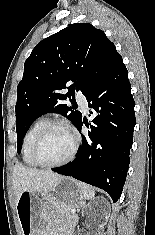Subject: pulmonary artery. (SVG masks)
I'll return each instance as SVG.
<instances>
[{
    "label": "pulmonary artery",
    "mask_w": 155,
    "mask_h": 235,
    "mask_svg": "<svg viewBox=\"0 0 155 235\" xmlns=\"http://www.w3.org/2000/svg\"><path fill=\"white\" fill-rule=\"evenodd\" d=\"M77 102L81 105V107L86 111L87 110V100L85 98V96L81 93H78L76 96Z\"/></svg>",
    "instance_id": "e3ab8cb5"
}]
</instances>
